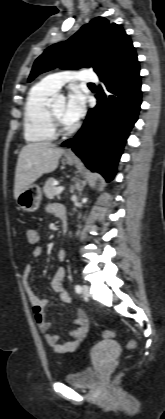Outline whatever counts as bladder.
<instances>
[{
    "label": "bladder",
    "instance_id": "bladder-1",
    "mask_svg": "<svg viewBox=\"0 0 165 419\" xmlns=\"http://www.w3.org/2000/svg\"><path fill=\"white\" fill-rule=\"evenodd\" d=\"M99 374L92 367H86L78 372L68 373L64 381L71 386L79 388H92L98 382Z\"/></svg>",
    "mask_w": 165,
    "mask_h": 419
}]
</instances>
